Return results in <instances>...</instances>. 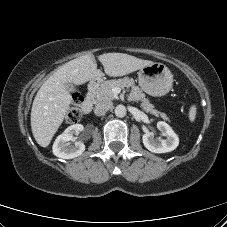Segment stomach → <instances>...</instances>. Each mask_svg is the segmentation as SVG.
<instances>
[{
  "mask_svg": "<svg viewBox=\"0 0 227 227\" xmlns=\"http://www.w3.org/2000/svg\"><path fill=\"white\" fill-rule=\"evenodd\" d=\"M138 83L147 94L163 96L172 87L173 75L164 64L152 63L139 70Z\"/></svg>",
  "mask_w": 227,
  "mask_h": 227,
  "instance_id": "1",
  "label": "stomach"
}]
</instances>
